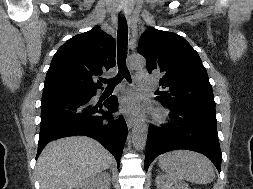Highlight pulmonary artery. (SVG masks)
I'll return each mask as SVG.
<instances>
[{"instance_id": "1", "label": "pulmonary artery", "mask_w": 253, "mask_h": 189, "mask_svg": "<svg viewBox=\"0 0 253 189\" xmlns=\"http://www.w3.org/2000/svg\"><path fill=\"white\" fill-rule=\"evenodd\" d=\"M136 80L142 87L150 86L153 82L152 76L146 73L137 75Z\"/></svg>"}]
</instances>
